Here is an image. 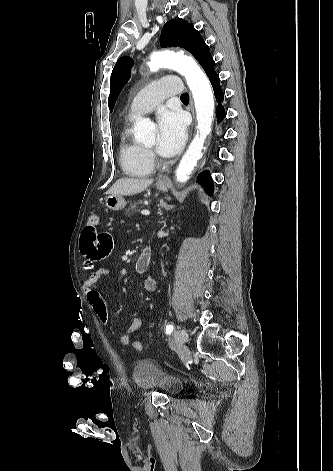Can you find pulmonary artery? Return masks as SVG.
<instances>
[{
    "label": "pulmonary artery",
    "mask_w": 333,
    "mask_h": 471,
    "mask_svg": "<svg viewBox=\"0 0 333 471\" xmlns=\"http://www.w3.org/2000/svg\"><path fill=\"white\" fill-rule=\"evenodd\" d=\"M181 92L182 86L177 77L167 76L155 80L134 97L129 108V116L151 112L163 99Z\"/></svg>",
    "instance_id": "e3ab8cb5"
}]
</instances>
